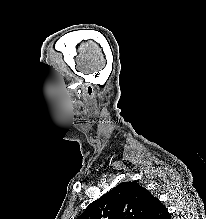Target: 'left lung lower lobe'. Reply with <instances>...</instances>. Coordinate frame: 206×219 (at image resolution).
I'll return each mask as SVG.
<instances>
[{
	"label": "left lung lower lobe",
	"instance_id": "0a47b994",
	"mask_svg": "<svg viewBox=\"0 0 206 219\" xmlns=\"http://www.w3.org/2000/svg\"><path fill=\"white\" fill-rule=\"evenodd\" d=\"M148 219H171L167 209L155 197L152 200V209Z\"/></svg>",
	"mask_w": 206,
	"mask_h": 219
}]
</instances>
